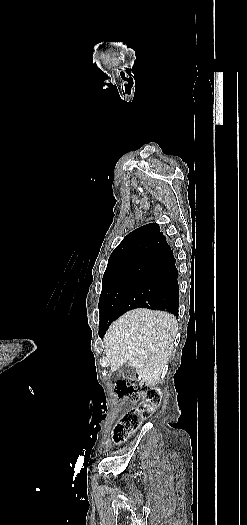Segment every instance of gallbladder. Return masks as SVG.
I'll return each mask as SVG.
<instances>
[{"instance_id":"gallbladder-1","label":"gallbladder","mask_w":247,"mask_h":525,"mask_svg":"<svg viewBox=\"0 0 247 525\" xmlns=\"http://www.w3.org/2000/svg\"><path fill=\"white\" fill-rule=\"evenodd\" d=\"M118 377H122V379H135V371L134 368L131 365H127V363H124L123 367L119 369L118 371Z\"/></svg>"}]
</instances>
